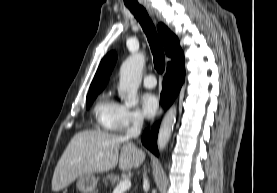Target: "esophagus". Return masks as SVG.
Returning <instances> with one entry per match:
<instances>
[{
	"instance_id": "34e87169",
	"label": "esophagus",
	"mask_w": 277,
	"mask_h": 193,
	"mask_svg": "<svg viewBox=\"0 0 277 193\" xmlns=\"http://www.w3.org/2000/svg\"><path fill=\"white\" fill-rule=\"evenodd\" d=\"M143 5H144V7L146 8V10L148 11V13H149L152 17H154V16H155V11H154V9L152 8V6L150 5V3L146 2V3H144Z\"/></svg>"
}]
</instances>
